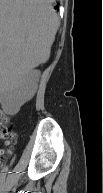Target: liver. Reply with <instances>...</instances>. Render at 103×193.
I'll return each instance as SVG.
<instances>
[{
	"instance_id": "1",
	"label": "liver",
	"mask_w": 103,
	"mask_h": 193,
	"mask_svg": "<svg viewBox=\"0 0 103 193\" xmlns=\"http://www.w3.org/2000/svg\"><path fill=\"white\" fill-rule=\"evenodd\" d=\"M54 0H0L1 77L7 81L45 63L57 31Z\"/></svg>"
}]
</instances>
